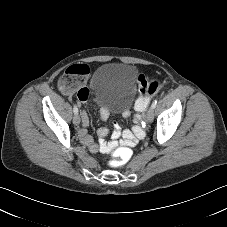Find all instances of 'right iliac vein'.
<instances>
[{"label":"right iliac vein","instance_id":"obj_1","mask_svg":"<svg viewBox=\"0 0 227 227\" xmlns=\"http://www.w3.org/2000/svg\"><path fill=\"white\" fill-rule=\"evenodd\" d=\"M80 116L78 115H75L74 118H73V124L78 126L80 124Z\"/></svg>","mask_w":227,"mask_h":227}]
</instances>
